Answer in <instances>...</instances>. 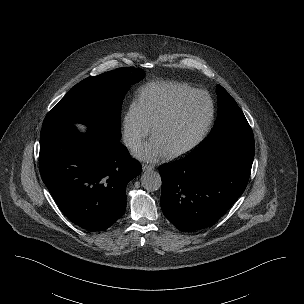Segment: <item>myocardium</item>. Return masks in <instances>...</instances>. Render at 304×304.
Here are the masks:
<instances>
[{
    "label": "myocardium",
    "instance_id": "f54148a6",
    "mask_svg": "<svg viewBox=\"0 0 304 304\" xmlns=\"http://www.w3.org/2000/svg\"><path fill=\"white\" fill-rule=\"evenodd\" d=\"M196 97H203L207 100L208 105H209V112L207 119L199 132V134L196 136V138L186 145L185 147L176 150L174 152H171L168 154L170 158H179L182 156H185L195 150L206 138L208 135L213 120H214V115H215V106L212 98L210 97L209 94H207L204 91L201 90H194L188 94H185L184 96L180 97L169 109H167L161 116H159L155 122L152 125V135L154 136L157 129L164 124L166 121L171 119L177 112L178 110L189 100L196 98Z\"/></svg>",
    "mask_w": 304,
    "mask_h": 304
}]
</instances>
